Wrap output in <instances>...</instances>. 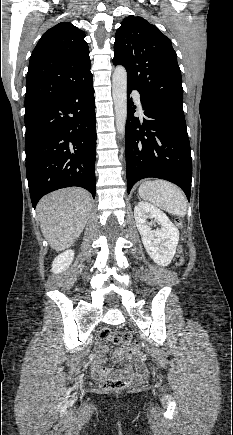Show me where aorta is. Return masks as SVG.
<instances>
[{"label": "aorta", "instance_id": "obj_1", "mask_svg": "<svg viewBox=\"0 0 233 435\" xmlns=\"http://www.w3.org/2000/svg\"><path fill=\"white\" fill-rule=\"evenodd\" d=\"M112 95L116 129L117 132L123 136L127 120V72L123 66H117L113 72Z\"/></svg>", "mask_w": 233, "mask_h": 435}]
</instances>
